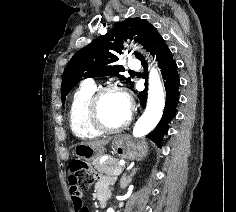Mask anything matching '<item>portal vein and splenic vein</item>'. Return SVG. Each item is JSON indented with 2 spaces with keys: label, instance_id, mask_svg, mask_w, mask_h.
Returning a JSON list of instances; mask_svg holds the SVG:
<instances>
[{
  "label": "portal vein and splenic vein",
  "instance_id": "18ae733b",
  "mask_svg": "<svg viewBox=\"0 0 236 212\" xmlns=\"http://www.w3.org/2000/svg\"><path fill=\"white\" fill-rule=\"evenodd\" d=\"M122 173V169H117L113 172L112 175H120Z\"/></svg>",
  "mask_w": 236,
  "mask_h": 212
}]
</instances>
